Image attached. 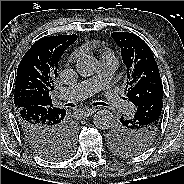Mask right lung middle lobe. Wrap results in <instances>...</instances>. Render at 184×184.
Returning a JSON list of instances; mask_svg holds the SVG:
<instances>
[{
  "label": "right lung middle lobe",
  "mask_w": 184,
  "mask_h": 184,
  "mask_svg": "<svg viewBox=\"0 0 184 184\" xmlns=\"http://www.w3.org/2000/svg\"><path fill=\"white\" fill-rule=\"evenodd\" d=\"M75 145V129L69 128L60 145L46 148L38 152L40 156L48 160H62L72 153Z\"/></svg>",
  "instance_id": "right-lung-middle-lobe-1"
}]
</instances>
